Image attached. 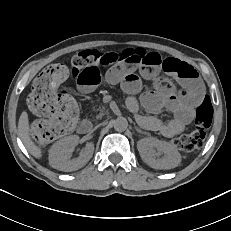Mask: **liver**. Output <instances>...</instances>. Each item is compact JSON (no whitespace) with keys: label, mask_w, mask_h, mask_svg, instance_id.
<instances>
[{"label":"liver","mask_w":231,"mask_h":231,"mask_svg":"<svg viewBox=\"0 0 231 231\" xmlns=\"http://www.w3.org/2000/svg\"><path fill=\"white\" fill-rule=\"evenodd\" d=\"M18 133L28 152L37 159L42 157V150L30 138L28 114L21 113L18 121Z\"/></svg>","instance_id":"obj_1"}]
</instances>
